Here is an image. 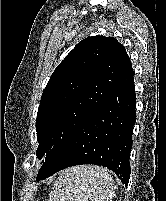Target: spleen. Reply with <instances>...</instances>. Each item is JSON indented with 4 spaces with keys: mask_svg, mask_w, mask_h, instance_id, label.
Wrapping results in <instances>:
<instances>
[{
    "mask_svg": "<svg viewBox=\"0 0 166 201\" xmlns=\"http://www.w3.org/2000/svg\"><path fill=\"white\" fill-rule=\"evenodd\" d=\"M112 177L98 166H76L60 173L48 201H112Z\"/></svg>",
    "mask_w": 166,
    "mask_h": 201,
    "instance_id": "1",
    "label": "spleen"
}]
</instances>
